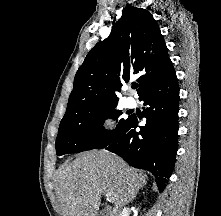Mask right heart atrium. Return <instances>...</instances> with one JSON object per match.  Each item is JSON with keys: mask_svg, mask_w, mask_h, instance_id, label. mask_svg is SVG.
<instances>
[{"mask_svg": "<svg viewBox=\"0 0 221 216\" xmlns=\"http://www.w3.org/2000/svg\"><path fill=\"white\" fill-rule=\"evenodd\" d=\"M100 127L105 131H113L116 127L115 119L112 116L104 117L100 122Z\"/></svg>", "mask_w": 221, "mask_h": 216, "instance_id": "d8ad5b80", "label": "right heart atrium"}]
</instances>
